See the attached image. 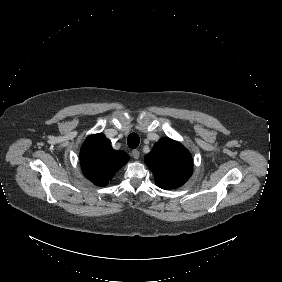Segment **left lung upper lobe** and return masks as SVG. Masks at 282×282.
Masks as SVG:
<instances>
[{
	"mask_svg": "<svg viewBox=\"0 0 282 282\" xmlns=\"http://www.w3.org/2000/svg\"><path fill=\"white\" fill-rule=\"evenodd\" d=\"M145 163L155 175V183L170 190L182 186L191 176L193 160L189 151L180 143L161 138L145 156Z\"/></svg>",
	"mask_w": 282,
	"mask_h": 282,
	"instance_id": "5c2ea615",
	"label": "left lung upper lobe"
}]
</instances>
